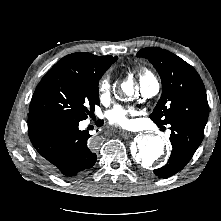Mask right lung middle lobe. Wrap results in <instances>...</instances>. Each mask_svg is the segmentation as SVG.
<instances>
[{
	"mask_svg": "<svg viewBox=\"0 0 221 221\" xmlns=\"http://www.w3.org/2000/svg\"><path fill=\"white\" fill-rule=\"evenodd\" d=\"M107 69L88 74L53 66L38 84L29 111L85 120L100 104L98 83Z\"/></svg>",
	"mask_w": 221,
	"mask_h": 221,
	"instance_id": "dd1d6c3e",
	"label": "right lung middle lobe"
}]
</instances>
